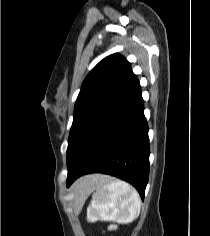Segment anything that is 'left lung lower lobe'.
<instances>
[{"label": "left lung lower lobe", "instance_id": "obj_1", "mask_svg": "<svg viewBox=\"0 0 210 236\" xmlns=\"http://www.w3.org/2000/svg\"><path fill=\"white\" fill-rule=\"evenodd\" d=\"M136 79L80 133L67 153V186L88 173H105L136 187L142 200L149 176L148 126Z\"/></svg>", "mask_w": 210, "mask_h": 236}]
</instances>
